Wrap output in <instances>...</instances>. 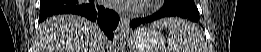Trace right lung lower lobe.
I'll return each mask as SVG.
<instances>
[{"instance_id": "1", "label": "right lung lower lobe", "mask_w": 261, "mask_h": 52, "mask_svg": "<svg viewBox=\"0 0 261 52\" xmlns=\"http://www.w3.org/2000/svg\"><path fill=\"white\" fill-rule=\"evenodd\" d=\"M56 14H76L97 22L109 39L117 27L119 16L96 0H41L39 22Z\"/></svg>"}]
</instances>
